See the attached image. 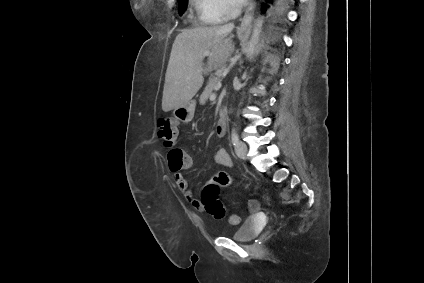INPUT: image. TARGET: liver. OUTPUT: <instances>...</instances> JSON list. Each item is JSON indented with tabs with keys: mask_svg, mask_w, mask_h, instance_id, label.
<instances>
[{
	"mask_svg": "<svg viewBox=\"0 0 424 283\" xmlns=\"http://www.w3.org/2000/svg\"><path fill=\"white\" fill-rule=\"evenodd\" d=\"M233 25L199 26L179 33L172 46L165 76L162 109L167 112L187 104L204 82V75L224 66L234 51L228 37ZM209 51L203 63L204 52Z\"/></svg>",
	"mask_w": 424,
	"mask_h": 283,
	"instance_id": "1",
	"label": "liver"
}]
</instances>
